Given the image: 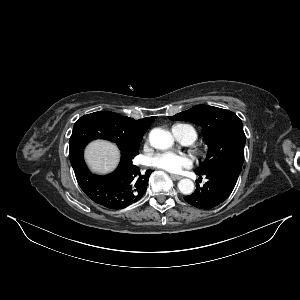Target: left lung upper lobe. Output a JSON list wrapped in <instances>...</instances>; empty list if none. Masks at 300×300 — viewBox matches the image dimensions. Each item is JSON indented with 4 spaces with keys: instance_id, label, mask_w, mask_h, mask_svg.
<instances>
[{
    "instance_id": "obj_1",
    "label": "left lung upper lobe",
    "mask_w": 300,
    "mask_h": 300,
    "mask_svg": "<svg viewBox=\"0 0 300 300\" xmlns=\"http://www.w3.org/2000/svg\"><path fill=\"white\" fill-rule=\"evenodd\" d=\"M168 118L192 122L202 127L209 149L204 163L195 169L196 172L205 174L221 168L241 172L245 134L236 114L213 106L197 105Z\"/></svg>"
}]
</instances>
